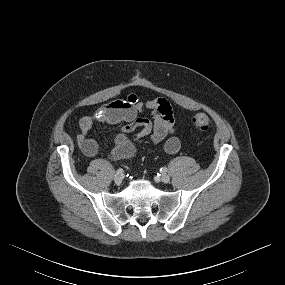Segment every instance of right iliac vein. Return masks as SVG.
<instances>
[{"instance_id": "obj_1", "label": "right iliac vein", "mask_w": 285, "mask_h": 285, "mask_svg": "<svg viewBox=\"0 0 285 285\" xmlns=\"http://www.w3.org/2000/svg\"><path fill=\"white\" fill-rule=\"evenodd\" d=\"M122 180H123L122 175L116 174V175L114 176V181H115V183H116L117 185H120V184L122 183Z\"/></svg>"}]
</instances>
